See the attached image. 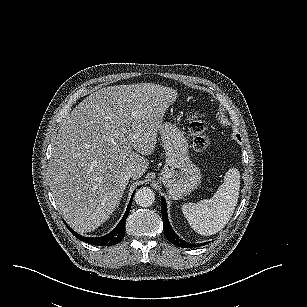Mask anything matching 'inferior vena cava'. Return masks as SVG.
<instances>
[{"mask_svg":"<svg viewBox=\"0 0 307 307\" xmlns=\"http://www.w3.org/2000/svg\"><path fill=\"white\" fill-rule=\"evenodd\" d=\"M131 177H132V174H131V173H128V174L125 176L126 180H129Z\"/></svg>","mask_w":307,"mask_h":307,"instance_id":"1","label":"inferior vena cava"}]
</instances>
